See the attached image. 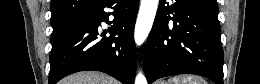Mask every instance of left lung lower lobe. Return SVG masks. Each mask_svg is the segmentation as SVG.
I'll return each mask as SVG.
<instances>
[{
  "mask_svg": "<svg viewBox=\"0 0 260 84\" xmlns=\"http://www.w3.org/2000/svg\"><path fill=\"white\" fill-rule=\"evenodd\" d=\"M160 0L144 56L148 83L191 73L223 84V50L216 0Z\"/></svg>",
  "mask_w": 260,
  "mask_h": 84,
  "instance_id": "left-lung-lower-lobe-1",
  "label": "left lung lower lobe"
}]
</instances>
